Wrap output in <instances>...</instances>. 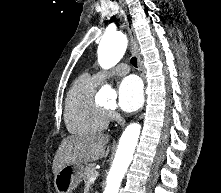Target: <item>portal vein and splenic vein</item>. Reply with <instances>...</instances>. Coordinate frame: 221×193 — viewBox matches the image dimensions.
Listing matches in <instances>:
<instances>
[{
  "instance_id": "18ae733b",
  "label": "portal vein and splenic vein",
  "mask_w": 221,
  "mask_h": 193,
  "mask_svg": "<svg viewBox=\"0 0 221 193\" xmlns=\"http://www.w3.org/2000/svg\"><path fill=\"white\" fill-rule=\"evenodd\" d=\"M97 176H98V172L96 171V172L91 176L90 181L96 180Z\"/></svg>"
}]
</instances>
